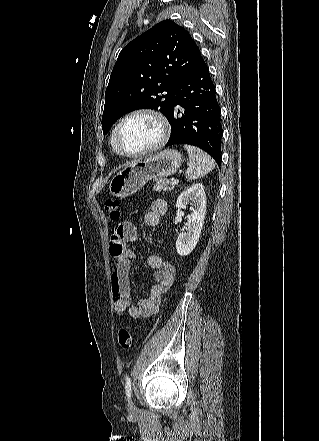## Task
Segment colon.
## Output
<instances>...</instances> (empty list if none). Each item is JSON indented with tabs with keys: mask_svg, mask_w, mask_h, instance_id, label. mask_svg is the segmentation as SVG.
<instances>
[{
	"mask_svg": "<svg viewBox=\"0 0 319 441\" xmlns=\"http://www.w3.org/2000/svg\"><path fill=\"white\" fill-rule=\"evenodd\" d=\"M104 207L112 221H116L120 218L121 206L119 200L109 198L105 201ZM117 340L121 348L129 349L132 345L131 332L126 328L120 329L118 331Z\"/></svg>",
	"mask_w": 319,
	"mask_h": 441,
	"instance_id": "1",
	"label": "colon"
}]
</instances>
